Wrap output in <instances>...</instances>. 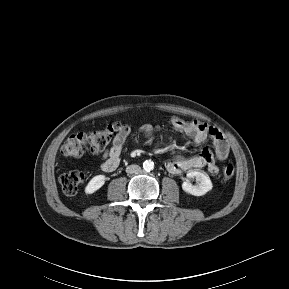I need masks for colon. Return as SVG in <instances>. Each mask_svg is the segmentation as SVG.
<instances>
[{"label": "colon", "instance_id": "5ec220e1", "mask_svg": "<svg viewBox=\"0 0 289 289\" xmlns=\"http://www.w3.org/2000/svg\"><path fill=\"white\" fill-rule=\"evenodd\" d=\"M120 126V123H114L108 125L103 130L71 135L62 145L61 151L65 156L74 158L81 157L87 153H101L108 148L113 134L119 130ZM234 171V164L231 162L228 163L223 171V181H229L232 178ZM84 177L82 171H70L62 174L60 177V184L63 192L66 195H75L78 192Z\"/></svg>", "mask_w": 289, "mask_h": 289}]
</instances>
